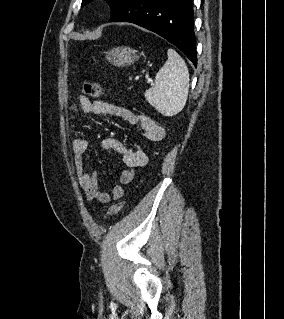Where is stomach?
<instances>
[{"label":"stomach","mask_w":284,"mask_h":319,"mask_svg":"<svg viewBox=\"0 0 284 319\" xmlns=\"http://www.w3.org/2000/svg\"><path fill=\"white\" fill-rule=\"evenodd\" d=\"M138 58L137 51L130 47H115L106 52V59L118 67L131 65Z\"/></svg>","instance_id":"1"}]
</instances>
